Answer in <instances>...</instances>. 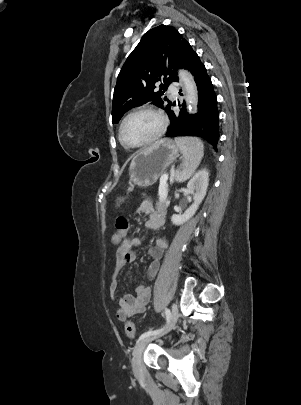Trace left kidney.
Instances as JSON below:
<instances>
[{
  "instance_id": "1",
  "label": "left kidney",
  "mask_w": 301,
  "mask_h": 405,
  "mask_svg": "<svg viewBox=\"0 0 301 405\" xmlns=\"http://www.w3.org/2000/svg\"><path fill=\"white\" fill-rule=\"evenodd\" d=\"M208 184L209 173L206 169L197 172L188 182L187 189L193 195L194 203L184 212V214L172 215L171 221L174 225H181L193 217L206 195Z\"/></svg>"
}]
</instances>
